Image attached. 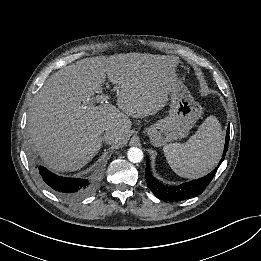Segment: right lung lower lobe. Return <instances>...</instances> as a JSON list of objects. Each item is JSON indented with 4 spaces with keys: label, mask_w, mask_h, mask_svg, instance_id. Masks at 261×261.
I'll return each instance as SVG.
<instances>
[{
    "label": "right lung lower lobe",
    "mask_w": 261,
    "mask_h": 261,
    "mask_svg": "<svg viewBox=\"0 0 261 261\" xmlns=\"http://www.w3.org/2000/svg\"><path fill=\"white\" fill-rule=\"evenodd\" d=\"M37 169L46 185L66 198L76 199L84 197L88 195L93 188V183L88 179L58 176L43 166H38Z\"/></svg>",
    "instance_id": "right-lung-lower-lobe-1"
}]
</instances>
